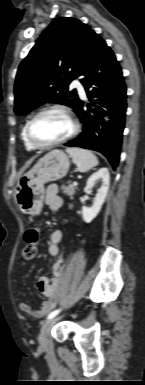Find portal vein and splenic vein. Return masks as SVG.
Instances as JSON below:
<instances>
[{"label": "portal vein and splenic vein", "instance_id": "18ae733b", "mask_svg": "<svg viewBox=\"0 0 145 385\" xmlns=\"http://www.w3.org/2000/svg\"><path fill=\"white\" fill-rule=\"evenodd\" d=\"M73 185H74V186H77V185H78V183H77L76 181H74V182H73Z\"/></svg>", "mask_w": 145, "mask_h": 385}]
</instances>
